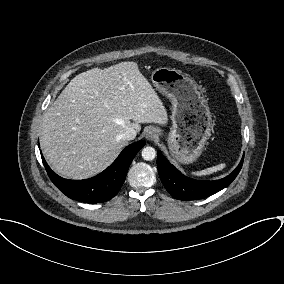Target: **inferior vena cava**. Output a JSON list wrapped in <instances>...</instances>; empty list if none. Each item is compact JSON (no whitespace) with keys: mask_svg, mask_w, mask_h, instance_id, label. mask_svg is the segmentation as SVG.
<instances>
[{"mask_svg":"<svg viewBox=\"0 0 284 284\" xmlns=\"http://www.w3.org/2000/svg\"><path fill=\"white\" fill-rule=\"evenodd\" d=\"M137 131L133 127H128L122 134L123 139L133 140L136 137Z\"/></svg>","mask_w":284,"mask_h":284,"instance_id":"obj_1","label":"inferior vena cava"}]
</instances>
